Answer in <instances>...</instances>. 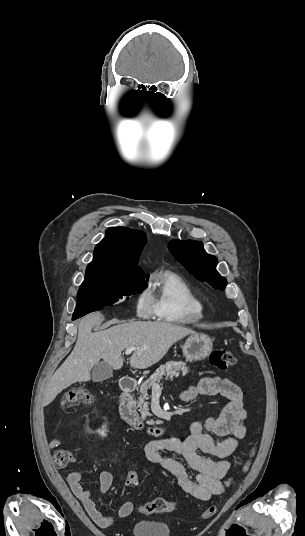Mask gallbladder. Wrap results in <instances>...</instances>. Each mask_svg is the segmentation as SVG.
I'll use <instances>...</instances> for the list:
<instances>
[{"label": "gallbladder", "instance_id": "obj_1", "mask_svg": "<svg viewBox=\"0 0 305 536\" xmlns=\"http://www.w3.org/2000/svg\"><path fill=\"white\" fill-rule=\"evenodd\" d=\"M112 376L113 370L109 364H106V362H98L92 370L93 382H103V380H108V378H112Z\"/></svg>", "mask_w": 305, "mask_h": 536}]
</instances>
